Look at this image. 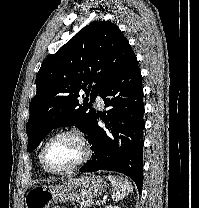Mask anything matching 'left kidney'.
<instances>
[{
	"label": "left kidney",
	"mask_w": 199,
	"mask_h": 208,
	"mask_svg": "<svg viewBox=\"0 0 199 208\" xmlns=\"http://www.w3.org/2000/svg\"><path fill=\"white\" fill-rule=\"evenodd\" d=\"M105 208H121V207L109 205V206H106Z\"/></svg>",
	"instance_id": "obj_1"
}]
</instances>
